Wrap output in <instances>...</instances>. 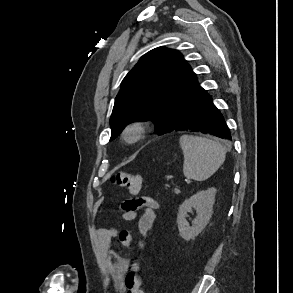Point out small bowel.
<instances>
[{"label": "small bowel", "instance_id": "1", "mask_svg": "<svg viewBox=\"0 0 293 293\" xmlns=\"http://www.w3.org/2000/svg\"><path fill=\"white\" fill-rule=\"evenodd\" d=\"M157 202L151 197H138L123 202V217L126 220L138 218V231L143 238L151 235L157 222ZM95 235L108 261V271L113 280V286L118 292L125 287V276L129 270V260L113 249L111 242L119 238L122 245L128 249L144 248L143 241H135L129 231H118L113 227L98 228Z\"/></svg>", "mask_w": 293, "mask_h": 293}]
</instances>
